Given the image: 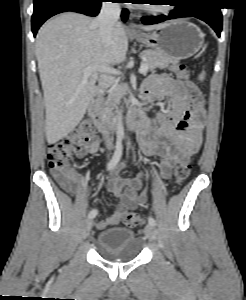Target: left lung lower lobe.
I'll list each match as a JSON object with an SVG mask.
<instances>
[{
	"mask_svg": "<svg viewBox=\"0 0 246 300\" xmlns=\"http://www.w3.org/2000/svg\"><path fill=\"white\" fill-rule=\"evenodd\" d=\"M221 7L217 0H182L176 5L168 16L144 17L142 22L146 25L163 22L180 17H196L208 23L220 36L222 30Z\"/></svg>",
	"mask_w": 246,
	"mask_h": 300,
	"instance_id": "1",
	"label": "left lung lower lobe"
}]
</instances>
